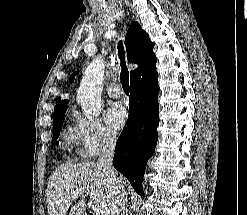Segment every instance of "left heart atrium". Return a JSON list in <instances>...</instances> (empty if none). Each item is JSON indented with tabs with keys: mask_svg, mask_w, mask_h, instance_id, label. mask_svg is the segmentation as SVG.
<instances>
[{
	"mask_svg": "<svg viewBox=\"0 0 247 215\" xmlns=\"http://www.w3.org/2000/svg\"><path fill=\"white\" fill-rule=\"evenodd\" d=\"M127 115L126 107L120 103H116L109 108L106 114V121L113 130L117 131L125 124Z\"/></svg>",
	"mask_w": 247,
	"mask_h": 215,
	"instance_id": "left-heart-atrium-1",
	"label": "left heart atrium"
}]
</instances>
